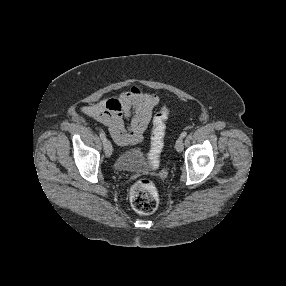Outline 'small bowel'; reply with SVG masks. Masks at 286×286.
<instances>
[{
  "label": "small bowel",
  "mask_w": 286,
  "mask_h": 286,
  "mask_svg": "<svg viewBox=\"0 0 286 286\" xmlns=\"http://www.w3.org/2000/svg\"><path fill=\"white\" fill-rule=\"evenodd\" d=\"M159 96L137 86L84 108V113L105 125L119 146L136 145L148 127Z\"/></svg>",
  "instance_id": "small-bowel-1"
}]
</instances>
